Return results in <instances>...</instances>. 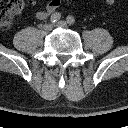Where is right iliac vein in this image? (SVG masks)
<instances>
[{"instance_id": "right-iliac-vein-1", "label": "right iliac vein", "mask_w": 128, "mask_h": 128, "mask_svg": "<svg viewBox=\"0 0 128 128\" xmlns=\"http://www.w3.org/2000/svg\"><path fill=\"white\" fill-rule=\"evenodd\" d=\"M53 29V25L52 24H46L44 25V30L46 32H50Z\"/></svg>"}]
</instances>
